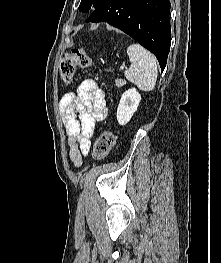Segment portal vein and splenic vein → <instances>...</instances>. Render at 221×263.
<instances>
[{"mask_svg":"<svg viewBox=\"0 0 221 263\" xmlns=\"http://www.w3.org/2000/svg\"><path fill=\"white\" fill-rule=\"evenodd\" d=\"M120 69H121V70H124V69H125V65H122V66L120 67Z\"/></svg>","mask_w":221,"mask_h":263,"instance_id":"obj_1","label":"portal vein and splenic vein"}]
</instances>
